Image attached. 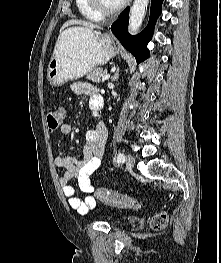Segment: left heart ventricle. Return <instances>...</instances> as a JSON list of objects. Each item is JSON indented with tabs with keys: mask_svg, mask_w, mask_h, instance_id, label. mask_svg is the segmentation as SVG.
Wrapping results in <instances>:
<instances>
[{
	"mask_svg": "<svg viewBox=\"0 0 221 263\" xmlns=\"http://www.w3.org/2000/svg\"><path fill=\"white\" fill-rule=\"evenodd\" d=\"M106 9H113L120 5L121 0H101Z\"/></svg>",
	"mask_w": 221,
	"mask_h": 263,
	"instance_id": "1",
	"label": "left heart ventricle"
}]
</instances>
